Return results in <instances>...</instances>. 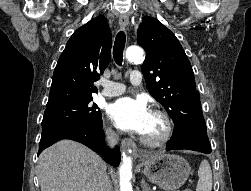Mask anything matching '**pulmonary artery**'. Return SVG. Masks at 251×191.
<instances>
[{
  "label": "pulmonary artery",
  "mask_w": 251,
  "mask_h": 191,
  "mask_svg": "<svg viewBox=\"0 0 251 191\" xmlns=\"http://www.w3.org/2000/svg\"><path fill=\"white\" fill-rule=\"evenodd\" d=\"M130 82L133 85H139L142 82V74L138 70H134L130 73ZM98 84L102 87L101 94L104 96L112 97L118 96L125 92V85L119 82H112L101 78Z\"/></svg>",
  "instance_id": "1"
}]
</instances>
